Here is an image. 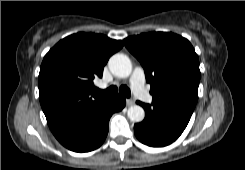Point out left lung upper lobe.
Listing matches in <instances>:
<instances>
[{
  "label": "left lung upper lobe",
  "mask_w": 245,
  "mask_h": 170,
  "mask_svg": "<svg viewBox=\"0 0 245 170\" xmlns=\"http://www.w3.org/2000/svg\"><path fill=\"white\" fill-rule=\"evenodd\" d=\"M123 43L143 66L153 103L192 114L200 70L190 42L177 34L151 32L128 37Z\"/></svg>",
  "instance_id": "left-lung-upper-lobe-1"
}]
</instances>
